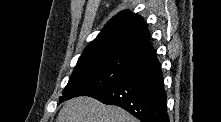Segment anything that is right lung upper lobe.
Masks as SVG:
<instances>
[{
  "instance_id": "cb5924a9",
  "label": "right lung upper lobe",
  "mask_w": 221,
  "mask_h": 122,
  "mask_svg": "<svg viewBox=\"0 0 221 122\" xmlns=\"http://www.w3.org/2000/svg\"><path fill=\"white\" fill-rule=\"evenodd\" d=\"M152 51L143 18L125 10L113 17L96 39L88 44L77 64L103 57L138 61Z\"/></svg>"
}]
</instances>
